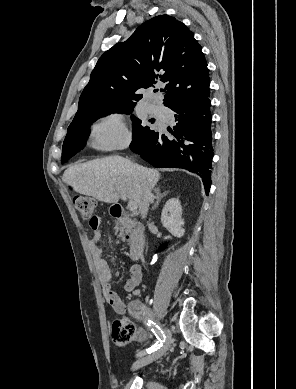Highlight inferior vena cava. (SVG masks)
Instances as JSON below:
<instances>
[{"instance_id": "obj_1", "label": "inferior vena cava", "mask_w": 296, "mask_h": 389, "mask_svg": "<svg viewBox=\"0 0 296 389\" xmlns=\"http://www.w3.org/2000/svg\"><path fill=\"white\" fill-rule=\"evenodd\" d=\"M153 200V195L151 193L150 188L146 185V183L143 184V199L141 204V214L142 217L145 218L147 216L149 205Z\"/></svg>"}]
</instances>
